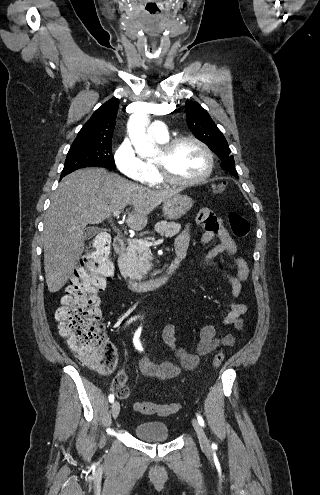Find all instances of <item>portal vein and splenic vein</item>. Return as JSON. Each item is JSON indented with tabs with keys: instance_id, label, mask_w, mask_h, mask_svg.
<instances>
[{
	"instance_id": "obj_1",
	"label": "portal vein and splenic vein",
	"mask_w": 320,
	"mask_h": 495,
	"mask_svg": "<svg viewBox=\"0 0 320 495\" xmlns=\"http://www.w3.org/2000/svg\"><path fill=\"white\" fill-rule=\"evenodd\" d=\"M119 214H120V211H115L113 212V216L114 217H119ZM163 242V239L161 240H158L157 242L155 243H151V242H143V241H137V243L142 246V247H149V246H152L154 244H161Z\"/></svg>"
}]
</instances>
